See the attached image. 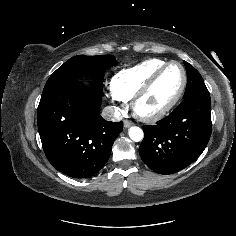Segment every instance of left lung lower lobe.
Returning a JSON list of instances; mask_svg holds the SVG:
<instances>
[{"mask_svg": "<svg viewBox=\"0 0 236 236\" xmlns=\"http://www.w3.org/2000/svg\"><path fill=\"white\" fill-rule=\"evenodd\" d=\"M211 127L209 92L193 94L156 125L143 126L140 156L157 173L178 172L204 151Z\"/></svg>", "mask_w": 236, "mask_h": 236, "instance_id": "0a47b994", "label": "left lung lower lobe"}]
</instances>
